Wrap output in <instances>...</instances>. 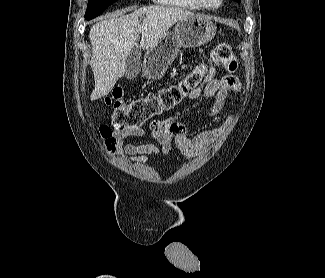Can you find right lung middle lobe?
I'll list each match as a JSON object with an SVG mask.
<instances>
[{
    "instance_id": "obj_1",
    "label": "right lung middle lobe",
    "mask_w": 325,
    "mask_h": 278,
    "mask_svg": "<svg viewBox=\"0 0 325 278\" xmlns=\"http://www.w3.org/2000/svg\"><path fill=\"white\" fill-rule=\"evenodd\" d=\"M117 0H89L85 19L91 20L101 14L105 9Z\"/></svg>"
}]
</instances>
